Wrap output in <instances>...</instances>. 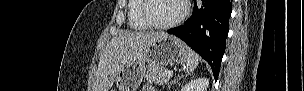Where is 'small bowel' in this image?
<instances>
[{
	"label": "small bowel",
	"mask_w": 304,
	"mask_h": 91,
	"mask_svg": "<svg viewBox=\"0 0 304 91\" xmlns=\"http://www.w3.org/2000/svg\"><path fill=\"white\" fill-rule=\"evenodd\" d=\"M143 90H145V91H152L153 89L151 87L147 86V87H144Z\"/></svg>",
	"instance_id": "1"
}]
</instances>
